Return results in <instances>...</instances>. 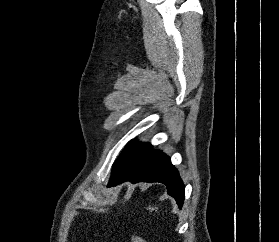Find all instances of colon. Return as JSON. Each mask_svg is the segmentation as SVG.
Masks as SVG:
<instances>
[{
    "label": "colon",
    "instance_id": "obj_1",
    "mask_svg": "<svg viewBox=\"0 0 279 242\" xmlns=\"http://www.w3.org/2000/svg\"><path fill=\"white\" fill-rule=\"evenodd\" d=\"M130 242H147V241L140 238L139 236L133 235L130 239Z\"/></svg>",
    "mask_w": 279,
    "mask_h": 242
}]
</instances>
